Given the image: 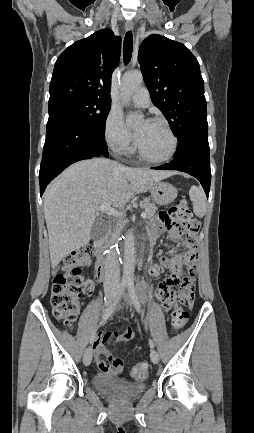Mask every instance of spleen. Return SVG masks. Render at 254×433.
Here are the masks:
<instances>
[{
	"instance_id": "spleen-1",
	"label": "spleen",
	"mask_w": 254,
	"mask_h": 433,
	"mask_svg": "<svg viewBox=\"0 0 254 433\" xmlns=\"http://www.w3.org/2000/svg\"><path fill=\"white\" fill-rule=\"evenodd\" d=\"M190 200L192 201L195 215L202 218L206 213L205 194L201 188L192 186L189 191Z\"/></svg>"
}]
</instances>
